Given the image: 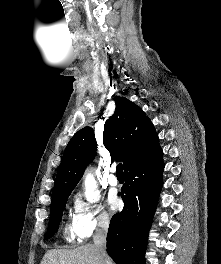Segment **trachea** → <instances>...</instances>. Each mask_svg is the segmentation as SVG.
Returning a JSON list of instances; mask_svg holds the SVG:
<instances>
[{"label":"trachea","instance_id":"obj_1","mask_svg":"<svg viewBox=\"0 0 221 264\" xmlns=\"http://www.w3.org/2000/svg\"><path fill=\"white\" fill-rule=\"evenodd\" d=\"M116 174L117 175H124V173H123V166H122V163H119L118 165H117V167H116Z\"/></svg>","mask_w":221,"mask_h":264}]
</instances>
